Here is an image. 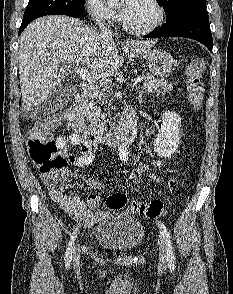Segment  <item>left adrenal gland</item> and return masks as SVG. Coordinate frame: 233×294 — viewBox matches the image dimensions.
<instances>
[{"mask_svg":"<svg viewBox=\"0 0 233 294\" xmlns=\"http://www.w3.org/2000/svg\"><path fill=\"white\" fill-rule=\"evenodd\" d=\"M143 93H144L143 91H140V92L138 93V100H139V102L142 101Z\"/></svg>","mask_w":233,"mask_h":294,"instance_id":"1","label":"left adrenal gland"}]
</instances>
